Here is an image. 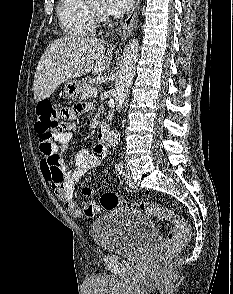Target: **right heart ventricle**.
<instances>
[{
    "instance_id": "obj_1",
    "label": "right heart ventricle",
    "mask_w": 233,
    "mask_h": 294,
    "mask_svg": "<svg viewBox=\"0 0 233 294\" xmlns=\"http://www.w3.org/2000/svg\"><path fill=\"white\" fill-rule=\"evenodd\" d=\"M62 31L74 38H84L94 33L97 18L85 0H59L57 9Z\"/></svg>"
}]
</instances>
